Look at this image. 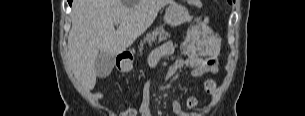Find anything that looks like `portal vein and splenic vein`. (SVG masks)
<instances>
[{
	"mask_svg": "<svg viewBox=\"0 0 305 116\" xmlns=\"http://www.w3.org/2000/svg\"><path fill=\"white\" fill-rule=\"evenodd\" d=\"M121 22L118 20V21H115V25H119Z\"/></svg>",
	"mask_w": 305,
	"mask_h": 116,
	"instance_id": "obj_1",
	"label": "portal vein and splenic vein"
}]
</instances>
